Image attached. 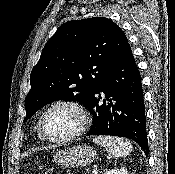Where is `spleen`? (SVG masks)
I'll return each mask as SVG.
<instances>
[{"label": "spleen", "instance_id": "1", "mask_svg": "<svg viewBox=\"0 0 175 174\" xmlns=\"http://www.w3.org/2000/svg\"><path fill=\"white\" fill-rule=\"evenodd\" d=\"M94 143L104 147L107 153L114 158L126 157L133 150L130 142L113 136H97L93 139Z\"/></svg>", "mask_w": 175, "mask_h": 174}]
</instances>
